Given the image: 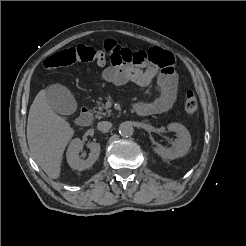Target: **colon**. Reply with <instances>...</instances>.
<instances>
[{"mask_svg": "<svg viewBox=\"0 0 246 246\" xmlns=\"http://www.w3.org/2000/svg\"><path fill=\"white\" fill-rule=\"evenodd\" d=\"M81 62H93L98 65H104L107 62V53L104 50L78 45L49 56L44 61V66L48 69H54L59 67L72 66ZM184 110L189 116L194 115L198 110L197 98L191 90L187 91L185 94Z\"/></svg>", "mask_w": 246, "mask_h": 246, "instance_id": "obj_1", "label": "colon"}]
</instances>
